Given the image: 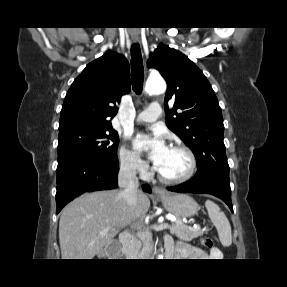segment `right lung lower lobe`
Masks as SVG:
<instances>
[{
  "label": "right lung lower lobe",
  "mask_w": 287,
  "mask_h": 287,
  "mask_svg": "<svg viewBox=\"0 0 287 287\" xmlns=\"http://www.w3.org/2000/svg\"><path fill=\"white\" fill-rule=\"evenodd\" d=\"M119 165L112 166L92 160H71L57 166L56 203L58 214L75 197L98 190L117 187ZM143 190L151 193L149 185Z\"/></svg>",
  "instance_id": "obj_1"
}]
</instances>
